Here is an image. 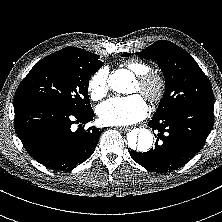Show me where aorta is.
Listing matches in <instances>:
<instances>
[{
  "instance_id": "aorta-1",
  "label": "aorta",
  "mask_w": 222,
  "mask_h": 222,
  "mask_svg": "<svg viewBox=\"0 0 222 222\" xmlns=\"http://www.w3.org/2000/svg\"><path fill=\"white\" fill-rule=\"evenodd\" d=\"M133 80L134 75L129 70L120 69L110 76L109 83L115 92L129 94ZM127 141L131 150L146 152L152 146L153 135L148 129H135L128 134Z\"/></svg>"
}]
</instances>
